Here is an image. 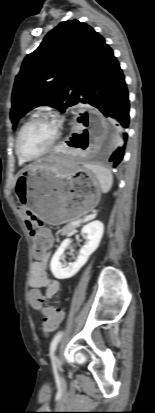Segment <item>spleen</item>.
<instances>
[{
	"mask_svg": "<svg viewBox=\"0 0 155 413\" xmlns=\"http://www.w3.org/2000/svg\"><path fill=\"white\" fill-rule=\"evenodd\" d=\"M84 167L95 174L100 183L102 192H109L113 183V176L111 171L106 167L96 164H86L84 165Z\"/></svg>",
	"mask_w": 155,
	"mask_h": 413,
	"instance_id": "obj_1",
	"label": "spleen"
}]
</instances>
